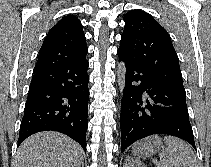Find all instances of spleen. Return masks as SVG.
Here are the masks:
<instances>
[{
	"mask_svg": "<svg viewBox=\"0 0 211 167\" xmlns=\"http://www.w3.org/2000/svg\"><path fill=\"white\" fill-rule=\"evenodd\" d=\"M168 147L159 154L160 161L153 160L156 167H198L193 149L175 137H164Z\"/></svg>",
	"mask_w": 211,
	"mask_h": 167,
	"instance_id": "1",
	"label": "spleen"
}]
</instances>
